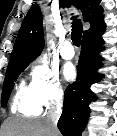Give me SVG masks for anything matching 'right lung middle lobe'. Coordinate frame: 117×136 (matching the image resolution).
<instances>
[{"label":"right lung middle lobe","instance_id":"dd1d6c3e","mask_svg":"<svg viewBox=\"0 0 117 136\" xmlns=\"http://www.w3.org/2000/svg\"><path fill=\"white\" fill-rule=\"evenodd\" d=\"M32 60H22L10 64L7 67L5 80L2 90L1 105L5 106L8 102L10 93L14 86V82L17 80L19 74L29 65Z\"/></svg>","mask_w":117,"mask_h":136}]
</instances>
